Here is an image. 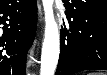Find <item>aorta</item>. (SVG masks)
Here are the masks:
<instances>
[{"mask_svg": "<svg viewBox=\"0 0 107 75\" xmlns=\"http://www.w3.org/2000/svg\"><path fill=\"white\" fill-rule=\"evenodd\" d=\"M54 0H43L45 37L41 54L40 75H54L60 53V35L53 12Z\"/></svg>", "mask_w": 107, "mask_h": 75, "instance_id": "762f6f07", "label": "aorta"}]
</instances>
